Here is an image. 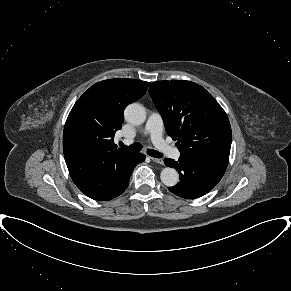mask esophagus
<instances>
[{"label":"esophagus","instance_id":"obj_1","mask_svg":"<svg viewBox=\"0 0 291 291\" xmlns=\"http://www.w3.org/2000/svg\"><path fill=\"white\" fill-rule=\"evenodd\" d=\"M151 160H152L153 162H155V163H158V164H163V163H164L163 160L160 159V158H154V157H151Z\"/></svg>","mask_w":291,"mask_h":291}]
</instances>
